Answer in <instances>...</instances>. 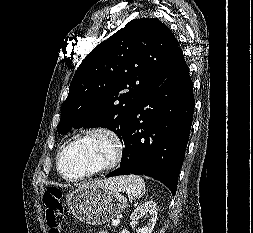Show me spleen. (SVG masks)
Returning a JSON list of instances; mask_svg holds the SVG:
<instances>
[{
    "label": "spleen",
    "mask_w": 253,
    "mask_h": 233,
    "mask_svg": "<svg viewBox=\"0 0 253 233\" xmlns=\"http://www.w3.org/2000/svg\"><path fill=\"white\" fill-rule=\"evenodd\" d=\"M105 187L120 192H127L134 198H142L145 193V182L140 176L128 175L108 179Z\"/></svg>",
    "instance_id": "obj_1"
}]
</instances>
